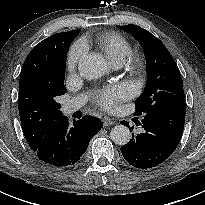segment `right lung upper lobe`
<instances>
[{"label": "right lung upper lobe", "mask_w": 205, "mask_h": 205, "mask_svg": "<svg viewBox=\"0 0 205 205\" xmlns=\"http://www.w3.org/2000/svg\"><path fill=\"white\" fill-rule=\"evenodd\" d=\"M80 30L54 34L28 54L20 73L18 109L24 136L34 151L64 117L55 99L65 93L67 50Z\"/></svg>", "instance_id": "1"}]
</instances>
